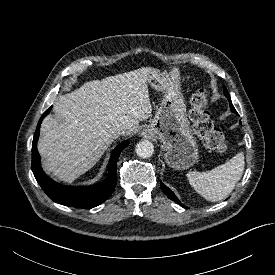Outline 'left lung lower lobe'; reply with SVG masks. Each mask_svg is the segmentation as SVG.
<instances>
[{
	"mask_svg": "<svg viewBox=\"0 0 275 275\" xmlns=\"http://www.w3.org/2000/svg\"><path fill=\"white\" fill-rule=\"evenodd\" d=\"M229 101L230 104V110L234 113H237L232 102L230 99L229 94L225 95ZM161 188L164 191V193L167 195V197L175 202H177L178 204H180L182 207L186 208V206H184L183 204L180 203V201L178 200V198L174 195V193L167 187L165 186L162 182H160Z\"/></svg>",
	"mask_w": 275,
	"mask_h": 275,
	"instance_id": "0a47b994",
	"label": "left lung lower lobe"
}]
</instances>
